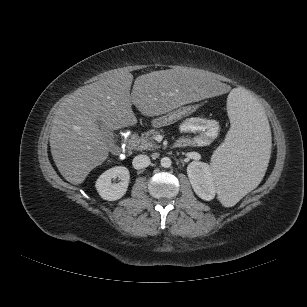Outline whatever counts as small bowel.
<instances>
[{"mask_svg": "<svg viewBox=\"0 0 307 307\" xmlns=\"http://www.w3.org/2000/svg\"><path fill=\"white\" fill-rule=\"evenodd\" d=\"M179 128L182 132L190 134L180 139L186 143L185 146L208 145L218 136L220 130L216 120L203 116L188 118L181 122Z\"/></svg>", "mask_w": 307, "mask_h": 307, "instance_id": "1", "label": "small bowel"}]
</instances>
